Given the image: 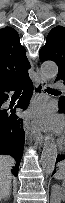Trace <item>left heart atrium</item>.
Listing matches in <instances>:
<instances>
[{
    "label": "left heart atrium",
    "mask_w": 65,
    "mask_h": 203,
    "mask_svg": "<svg viewBox=\"0 0 65 203\" xmlns=\"http://www.w3.org/2000/svg\"><path fill=\"white\" fill-rule=\"evenodd\" d=\"M29 118L39 128H49L56 132L62 128L61 118L54 116L44 105L33 108L29 113Z\"/></svg>",
    "instance_id": "obj_1"
}]
</instances>
